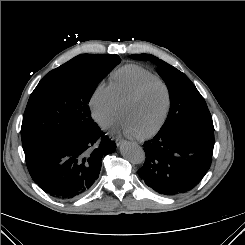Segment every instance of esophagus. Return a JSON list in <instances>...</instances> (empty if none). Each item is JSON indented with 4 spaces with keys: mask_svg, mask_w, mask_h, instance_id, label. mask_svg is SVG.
Wrapping results in <instances>:
<instances>
[{
    "mask_svg": "<svg viewBox=\"0 0 245 245\" xmlns=\"http://www.w3.org/2000/svg\"><path fill=\"white\" fill-rule=\"evenodd\" d=\"M115 142H116L117 146H119V145H121L124 142V139H122V138H116L115 139Z\"/></svg>",
    "mask_w": 245,
    "mask_h": 245,
    "instance_id": "34e87169",
    "label": "esophagus"
}]
</instances>
